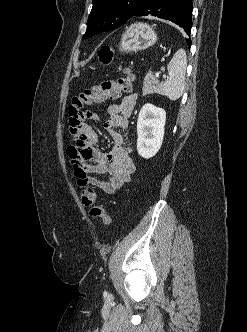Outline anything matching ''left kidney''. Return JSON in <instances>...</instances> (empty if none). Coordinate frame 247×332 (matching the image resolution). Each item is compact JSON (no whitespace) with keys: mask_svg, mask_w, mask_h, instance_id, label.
Here are the masks:
<instances>
[{"mask_svg":"<svg viewBox=\"0 0 247 332\" xmlns=\"http://www.w3.org/2000/svg\"><path fill=\"white\" fill-rule=\"evenodd\" d=\"M166 112L150 103L145 104L137 120V151L149 159L159 151L164 137Z\"/></svg>","mask_w":247,"mask_h":332,"instance_id":"obj_1","label":"left kidney"}]
</instances>
